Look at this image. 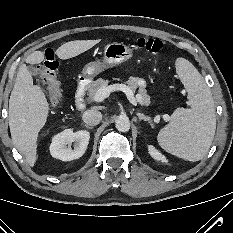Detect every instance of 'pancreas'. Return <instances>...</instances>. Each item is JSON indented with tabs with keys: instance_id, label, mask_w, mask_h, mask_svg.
Here are the masks:
<instances>
[{
	"instance_id": "obj_1",
	"label": "pancreas",
	"mask_w": 233,
	"mask_h": 233,
	"mask_svg": "<svg viewBox=\"0 0 233 233\" xmlns=\"http://www.w3.org/2000/svg\"><path fill=\"white\" fill-rule=\"evenodd\" d=\"M128 87L135 92L137 88L138 89V99L137 102L140 105L143 106H149L151 101H150V96L146 92V82L138 77H130L126 82H125ZM109 84V80H105L102 78H99L89 84V89H88V96L90 100H94V96L96 92L102 87L106 86Z\"/></svg>"
}]
</instances>
